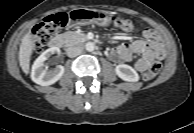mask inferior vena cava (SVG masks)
<instances>
[{
	"instance_id": "1",
	"label": "inferior vena cava",
	"mask_w": 194,
	"mask_h": 133,
	"mask_svg": "<svg viewBox=\"0 0 194 133\" xmlns=\"http://www.w3.org/2000/svg\"><path fill=\"white\" fill-rule=\"evenodd\" d=\"M82 51H83V48L79 46H72L67 48L66 50L68 57H76L80 55Z\"/></svg>"
}]
</instances>
